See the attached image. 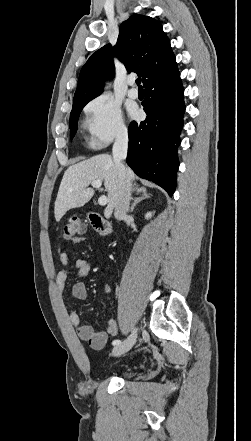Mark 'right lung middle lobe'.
Returning <instances> with one entry per match:
<instances>
[{
  "label": "right lung middle lobe",
  "mask_w": 251,
  "mask_h": 441,
  "mask_svg": "<svg viewBox=\"0 0 251 441\" xmlns=\"http://www.w3.org/2000/svg\"><path fill=\"white\" fill-rule=\"evenodd\" d=\"M93 98H86V99H80L73 101V108L70 114V137L73 138L77 131V123L78 118L80 115V112L82 111L83 107Z\"/></svg>",
  "instance_id": "obj_1"
}]
</instances>
